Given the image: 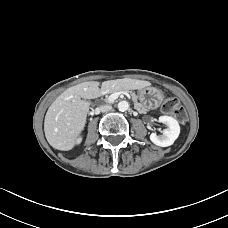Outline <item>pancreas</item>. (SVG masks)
<instances>
[{"label":"pancreas","mask_w":228,"mask_h":228,"mask_svg":"<svg viewBox=\"0 0 228 228\" xmlns=\"http://www.w3.org/2000/svg\"><path fill=\"white\" fill-rule=\"evenodd\" d=\"M117 90H111L109 91L108 93H114L116 92ZM130 95L132 96V99H131V102L133 103V105L135 106V108L140 112V113H143V114H147L148 113V107H143V105L139 104V102L137 101V96L130 92ZM107 101L110 102L107 98Z\"/></svg>","instance_id":"obj_1"}]
</instances>
